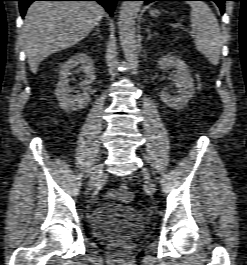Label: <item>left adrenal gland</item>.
<instances>
[{
    "instance_id": "left-adrenal-gland-1",
    "label": "left adrenal gland",
    "mask_w": 247,
    "mask_h": 265,
    "mask_svg": "<svg viewBox=\"0 0 247 265\" xmlns=\"http://www.w3.org/2000/svg\"><path fill=\"white\" fill-rule=\"evenodd\" d=\"M156 33H151L150 28L147 29V40L149 41L153 36H155Z\"/></svg>"
}]
</instances>
